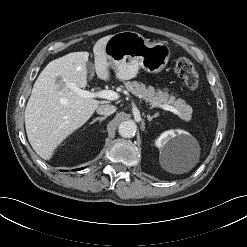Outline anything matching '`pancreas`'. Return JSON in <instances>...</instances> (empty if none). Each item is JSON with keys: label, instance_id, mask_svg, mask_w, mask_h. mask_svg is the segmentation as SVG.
I'll list each match as a JSON object with an SVG mask.
<instances>
[{"label": "pancreas", "instance_id": "obj_1", "mask_svg": "<svg viewBox=\"0 0 247 247\" xmlns=\"http://www.w3.org/2000/svg\"><path fill=\"white\" fill-rule=\"evenodd\" d=\"M125 88L133 95L142 98L151 106L160 104H172L178 111L179 117L188 122L192 116V107L182 99H176L175 96L167 92L155 90L152 86L146 87L145 84L137 81H128L124 83Z\"/></svg>", "mask_w": 247, "mask_h": 247}]
</instances>
